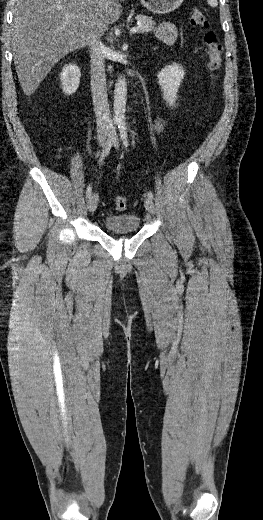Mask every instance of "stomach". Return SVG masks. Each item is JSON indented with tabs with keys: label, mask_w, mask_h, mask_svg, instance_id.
I'll use <instances>...</instances> for the list:
<instances>
[{
	"label": "stomach",
	"mask_w": 263,
	"mask_h": 520,
	"mask_svg": "<svg viewBox=\"0 0 263 520\" xmlns=\"http://www.w3.org/2000/svg\"><path fill=\"white\" fill-rule=\"evenodd\" d=\"M141 4L155 14H167L180 7L184 0H140Z\"/></svg>",
	"instance_id": "0dacf381"
}]
</instances>
